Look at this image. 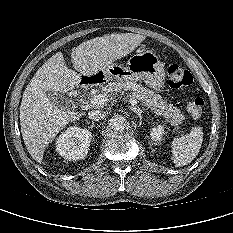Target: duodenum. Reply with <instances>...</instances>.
I'll return each mask as SVG.
<instances>
[{"instance_id": "duodenum-1", "label": "duodenum", "mask_w": 233, "mask_h": 233, "mask_svg": "<svg viewBox=\"0 0 233 233\" xmlns=\"http://www.w3.org/2000/svg\"><path fill=\"white\" fill-rule=\"evenodd\" d=\"M101 81H102V76L97 74L93 76L83 77L81 80V84L83 86H92L100 83Z\"/></svg>"}]
</instances>
